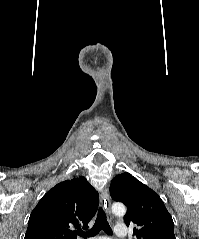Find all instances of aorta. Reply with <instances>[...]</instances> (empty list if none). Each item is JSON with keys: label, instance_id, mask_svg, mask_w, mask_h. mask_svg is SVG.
I'll return each instance as SVG.
<instances>
[{"label": "aorta", "instance_id": "obj_1", "mask_svg": "<svg viewBox=\"0 0 199 239\" xmlns=\"http://www.w3.org/2000/svg\"><path fill=\"white\" fill-rule=\"evenodd\" d=\"M112 212L115 215L123 216L126 213V207L122 203H114L112 205Z\"/></svg>", "mask_w": 199, "mask_h": 239}]
</instances>
